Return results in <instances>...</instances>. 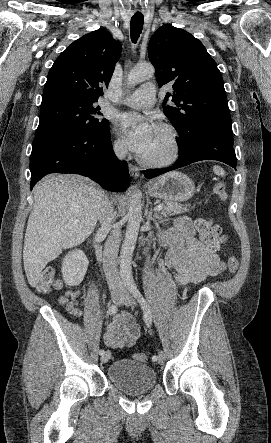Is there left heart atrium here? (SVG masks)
I'll return each instance as SVG.
<instances>
[{"label":"left heart atrium","instance_id":"obj_1","mask_svg":"<svg viewBox=\"0 0 271 443\" xmlns=\"http://www.w3.org/2000/svg\"><path fill=\"white\" fill-rule=\"evenodd\" d=\"M118 125L130 149L139 155H145L150 147L155 128L151 119L141 113L127 112L118 116Z\"/></svg>","mask_w":271,"mask_h":443}]
</instances>
